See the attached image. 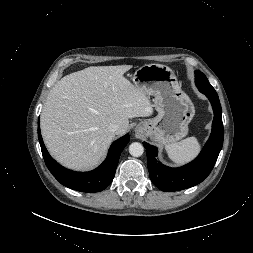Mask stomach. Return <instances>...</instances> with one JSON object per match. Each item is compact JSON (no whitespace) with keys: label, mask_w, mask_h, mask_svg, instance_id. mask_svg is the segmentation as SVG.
Returning <instances> with one entry per match:
<instances>
[{"label":"stomach","mask_w":253,"mask_h":253,"mask_svg":"<svg viewBox=\"0 0 253 253\" xmlns=\"http://www.w3.org/2000/svg\"><path fill=\"white\" fill-rule=\"evenodd\" d=\"M133 84L147 96H154L158 113L141 121L136 126L137 133L163 145L176 143L188 134L195 108L172 69L162 64L143 65L135 71Z\"/></svg>","instance_id":"stomach-1"}]
</instances>
